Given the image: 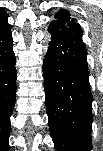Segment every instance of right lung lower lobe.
I'll list each match as a JSON object with an SVG mask.
<instances>
[{"mask_svg": "<svg viewBox=\"0 0 103 151\" xmlns=\"http://www.w3.org/2000/svg\"><path fill=\"white\" fill-rule=\"evenodd\" d=\"M12 35L7 24L0 29V135L7 138L9 118L15 103L16 69Z\"/></svg>", "mask_w": 103, "mask_h": 151, "instance_id": "98d812e1", "label": "right lung lower lobe"}]
</instances>
